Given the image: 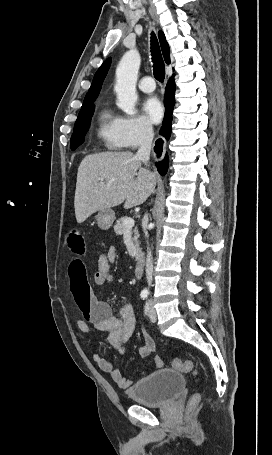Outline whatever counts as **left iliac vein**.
Wrapping results in <instances>:
<instances>
[{"mask_svg": "<svg viewBox=\"0 0 272 455\" xmlns=\"http://www.w3.org/2000/svg\"><path fill=\"white\" fill-rule=\"evenodd\" d=\"M149 318L152 322H155L157 319L156 310L152 304H150V307H149Z\"/></svg>", "mask_w": 272, "mask_h": 455, "instance_id": "1", "label": "left iliac vein"}]
</instances>
